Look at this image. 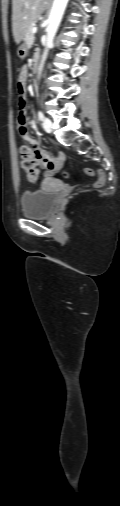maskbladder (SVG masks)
I'll list each match as a JSON object with an SVG mask.
<instances>
[{"instance_id": "31cf9c89", "label": "bladder", "mask_w": 120, "mask_h": 506, "mask_svg": "<svg viewBox=\"0 0 120 506\" xmlns=\"http://www.w3.org/2000/svg\"><path fill=\"white\" fill-rule=\"evenodd\" d=\"M57 194L52 190L26 191L21 196V212L28 218H42L51 214Z\"/></svg>"}]
</instances>
